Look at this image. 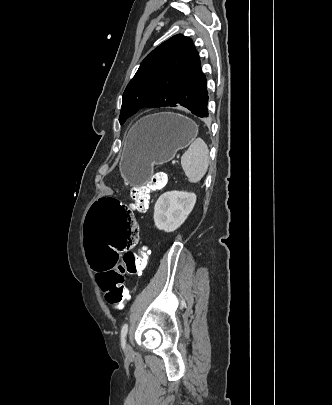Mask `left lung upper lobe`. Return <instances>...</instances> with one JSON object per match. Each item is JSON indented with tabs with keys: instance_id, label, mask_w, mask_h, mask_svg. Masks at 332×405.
Returning a JSON list of instances; mask_svg holds the SVG:
<instances>
[{
	"instance_id": "obj_1",
	"label": "left lung upper lobe",
	"mask_w": 332,
	"mask_h": 405,
	"mask_svg": "<svg viewBox=\"0 0 332 405\" xmlns=\"http://www.w3.org/2000/svg\"><path fill=\"white\" fill-rule=\"evenodd\" d=\"M204 76L192 40L181 34L171 37L142 61L127 85L120 123L142 107L192 108Z\"/></svg>"
}]
</instances>
